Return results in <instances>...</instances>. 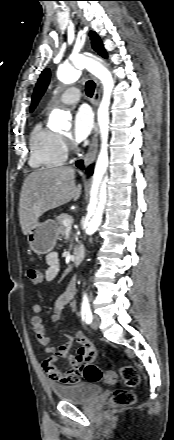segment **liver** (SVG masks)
Segmentation results:
<instances>
[{
	"instance_id": "1",
	"label": "liver",
	"mask_w": 174,
	"mask_h": 440,
	"mask_svg": "<svg viewBox=\"0 0 174 440\" xmlns=\"http://www.w3.org/2000/svg\"><path fill=\"white\" fill-rule=\"evenodd\" d=\"M72 167L40 168L24 180L19 200V220L24 235L45 212L78 200L81 185Z\"/></svg>"
}]
</instances>
